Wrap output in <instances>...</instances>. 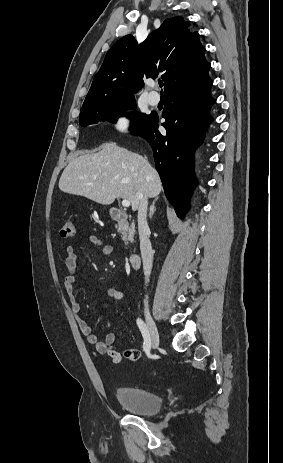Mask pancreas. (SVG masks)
I'll return each instance as SVG.
<instances>
[{
    "mask_svg": "<svg viewBox=\"0 0 283 463\" xmlns=\"http://www.w3.org/2000/svg\"><path fill=\"white\" fill-rule=\"evenodd\" d=\"M117 231L121 234L122 240H132L133 233H134V226H129L128 223L119 224L117 227Z\"/></svg>",
    "mask_w": 283,
    "mask_h": 463,
    "instance_id": "cf45deb5",
    "label": "pancreas"
}]
</instances>
